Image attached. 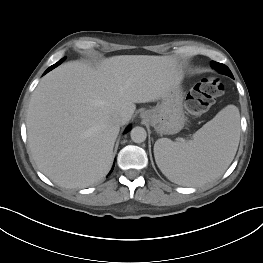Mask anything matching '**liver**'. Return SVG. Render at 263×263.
Returning a JSON list of instances; mask_svg holds the SVG:
<instances>
[{
  "label": "liver",
  "mask_w": 263,
  "mask_h": 263,
  "mask_svg": "<svg viewBox=\"0 0 263 263\" xmlns=\"http://www.w3.org/2000/svg\"><path fill=\"white\" fill-rule=\"evenodd\" d=\"M184 77L169 56L120 55L96 68L71 61L48 73L34 90L26 126L31 155L40 171L64 188H85L109 172L120 126L135 103L154 102ZM124 125V124H123Z\"/></svg>",
  "instance_id": "liver-1"
}]
</instances>
